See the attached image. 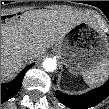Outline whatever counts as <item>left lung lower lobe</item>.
I'll use <instances>...</instances> for the list:
<instances>
[{"mask_svg":"<svg viewBox=\"0 0 109 109\" xmlns=\"http://www.w3.org/2000/svg\"><path fill=\"white\" fill-rule=\"evenodd\" d=\"M108 95L109 80L103 86L78 96L67 95L56 91L57 99L65 106L72 109H87L93 107L103 101Z\"/></svg>","mask_w":109,"mask_h":109,"instance_id":"0a47b994","label":"left lung lower lobe"}]
</instances>
